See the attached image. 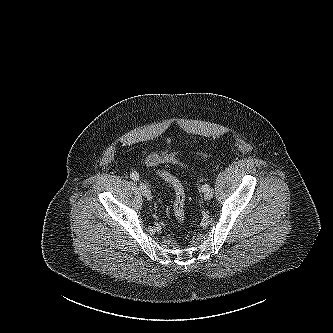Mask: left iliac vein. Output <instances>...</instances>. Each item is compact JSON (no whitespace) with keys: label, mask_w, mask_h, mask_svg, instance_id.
<instances>
[{"label":"left iliac vein","mask_w":333,"mask_h":333,"mask_svg":"<svg viewBox=\"0 0 333 333\" xmlns=\"http://www.w3.org/2000/svg\"><path fill=\"white\" fill-rule=\"evenodd\" d=\"M212 197H213L212 189H208L207 191H205V193H204L205 200H210Z\"/></svg>","instance_id":"left-iliac-vein-1"}]
</instances>
